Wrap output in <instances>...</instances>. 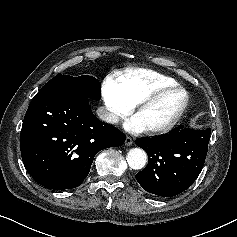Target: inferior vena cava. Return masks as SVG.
Instances as JSON below:
<instances>
[{"label":"inferior vena cava","mask_w":237,"mask_h":237,"mask_svg":"<svg viewBox=\"0 0 237 237\" xmlns=\"http://www.w3.org/2000/svg\"><path fill=\"white\" fill-rule=\"evenodd\" d=\"M99 118L107 123H117L119 118L116 114L110 112L106 107H99L96 111Z\"/></svg>","instance_id":"obj_1"}]
</instances>
